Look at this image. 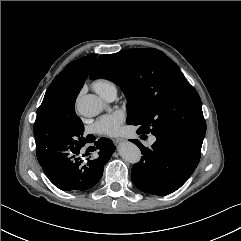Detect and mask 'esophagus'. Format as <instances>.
<instances>
[{
	"mask_svg": "<svg viewBox=\"0 0 241 241\" xmlns=\"http://www.w3.org/2000/svg\"><path fill=\"white\" fill-rule=\"evenodd\" d=\"M114 142H115V144L118 145V144L125 142V139L124 138H116V139H114Z\"/></svg>",
	"mask_w": 241,
	"mask_h": 241,
	"instance_id": "34e87169",
	"label": "esophagus"
}]
</instances>
